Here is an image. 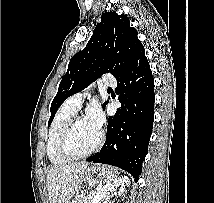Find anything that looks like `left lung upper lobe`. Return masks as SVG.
Instances as JSON below:
<instances>
[{
    "instance_id": "left-lung-upper-lobe-1",
    "label": "left lung upper lobe",
    "mask_w": 214,
    "mask_h": 203,
    "mask_svg": "<svg viewBox=\"0 0 214 203\" xmlns=\"http://www.w3.org/2000/svg\"><path fill=\"white\" fill-rule=\"evenodd\" d=\"M137 35L126 15L107 12L101 16L86 47L68 64L51 104L48 126L69 96L82 91L104 73H111L117 79L128 69L135 55L144 49Z\"/></svg>"
}]
</instances>
